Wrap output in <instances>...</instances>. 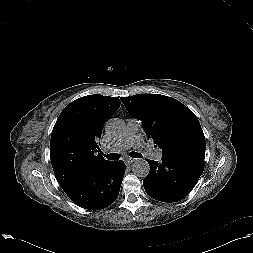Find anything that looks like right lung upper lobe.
<instances>
[{
  "label": "right lung upper lobe",
  "mask_w": 253,
  "mask_h": 253,
  "mask_svg": "<svg viewBox=\"0 0 253 253\" xmlns=\"http://www.w3.org/2000/svg\"><path fill=\"white\" fill-rule=\"evenodd\" d=\"M119 107L118 97L94 94L71 102L61 112L51 135L50 157L63 190L109 162L98 153V140Z\"/></svg>",
  "instance_id": "obj_1"
}]
</instances>
